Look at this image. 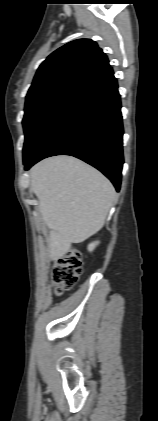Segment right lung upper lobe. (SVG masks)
<instances>
[{"label":"right lung upper lobe","instance_id":"obj_1","mask_svg":"<svg viewBox=\"0 0 158 421\" xmlns=\"http://www.w3.org/2000/svg\"><path fill=\"white\" fill-rule=\"evenodd\" d=\"M107 67V56L96 42L74 40L54 51L40 65L28 93L61 82L81 85Z\"/></svg>","mask_w":158,"mask_h":421}]
</instances>
